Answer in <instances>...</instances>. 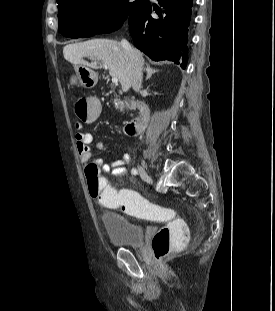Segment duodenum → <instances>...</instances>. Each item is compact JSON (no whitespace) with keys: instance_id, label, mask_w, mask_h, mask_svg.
Returning <instances> with one entry per match:
<instances>
[{"instance_id":"410a0bca","label":"duodenum","mask_w":275,"mask_h":311,"mask_svg":"<svg viewBox=\"0 0 275 311\" xmlns=\"http://www.w3.org/2000/svg\"><path fill=\"white\" fill-rule=\"evenodd\" d=\"M128 107L135 106L138 110V115L131 121L125 123L124 130L127 135L133 136L144 131L149 119V107L144 103L134 102L128 103Z\"/></svg>"}]
</instances>
